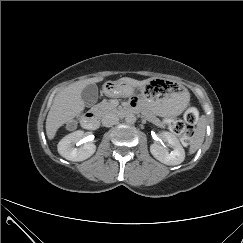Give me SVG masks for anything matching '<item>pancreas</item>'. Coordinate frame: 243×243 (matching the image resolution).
Returning a JSON list of instances; mask_svg holds the SVG:
<instances>
[{
	"label": "pancreas",
	"mask_w": 243,
	"mask_h": 243,
	"mask_svg": "<svg viewBox=\"0 0 243 243\" xmlns=\"http://www.w3.org/2000/svg\"><path fill=\"white\" fill-rule=\"evenodd\" d=\"M116 106L109 102H102L96 106V111L99 115H105L106 113H109L113 110H115Z\"/></svg>",
	"instance_id": "cf45deb5"
}]
</instances>
